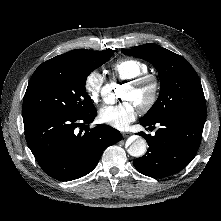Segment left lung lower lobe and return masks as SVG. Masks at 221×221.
Listing matches in <instances>:
<instances>
[{"instance_id":"0a47b994","label":"left lung lower lobe","mask_w":221,"mask_h":221,"mask_svg":"<svg viewBox=\"0 0 221 221\" xmlns=\"http://www.w3.org/2000/svg\"><path fill=\"white\" fill-rule=\"evenodd\" d=\"M205 120L187 117L169 116L156 120L141 119L144 127H161L154 136L144 132L143 136L149 145L147 153L133 160L134 167L142 174L163 178L178 173L194 158L200 144Z\"/></svg>"}]
</instances>
